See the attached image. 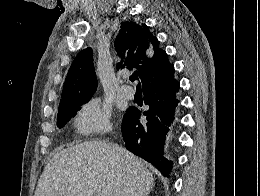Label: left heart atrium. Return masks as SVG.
I'll list each match as a JSON object with an SVG mask.
<instances>
[{
	"label": "left heart atrium",
	"instance_id": "left-heart-atrium-1",
	"mask_svg": "<svg viewBox=\"0 0 260 196\" xmlns=\"http://www.w3.org/2000/svg\"><path fill=\"white\" fill-rule=\"evenodd\" d=\"M108 192H123V190H108Z\"/></svg>",
	"mask_w": 260,
	"mask_h": 196
}]
</instances>
